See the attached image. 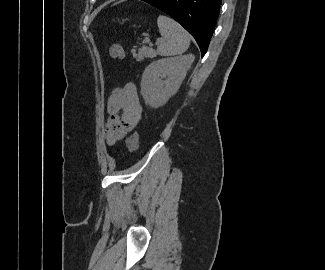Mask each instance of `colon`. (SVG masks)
<instances>
[{"label":"colon","instance_id":"5ec220e1","mask_svg":"<svg viewBox=\"0 0 325 270\" xmlns=\"http://www.w3.org/2000/svg\"><path fill=\"white\" fill-rule=\"evenodd\" d=\"M110 57L113 59H124L126 54L121 45L114 44L110 47L109 50ZM139 143V134L138 132H134L126 142L127 149L129 152H133L137 149Z\"/></svg>","mask_w":325,"mask_h":270}]
</instances>
